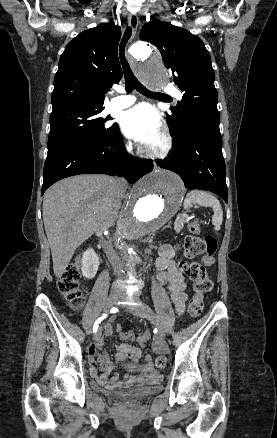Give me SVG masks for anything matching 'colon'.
<instances>
[{"mask_svg":"<svg viewBox=\"0 0 277 438\" xmlns=\"http://www.w3.org/2000/svg\"><path fill=\"white\" fill-rule=\"evenodd\" d=\"M185 230L190 234L185 238L183 252L188 258L202 256L203 261L179 263L180 270L194 282L199 293L193 295L188 303L187 313L191 317L200 315L204 307L203 294L209 292L213 287L212 279L209 277L207 267L212 265L213 256L217 250V240L213 235L194 236L200 230L199 222L191 220L185 225ZM79 267L68 266L58 283L59 293L70 303L72 309L77 310L82 306L83 295L78 283ZM166 364L163 356L156 358V366L161 368Z\"/></svg>","mask_w":277,"mask_h":438,"instance_id":"5ec220e1","label":"colon"}]
</instances>
